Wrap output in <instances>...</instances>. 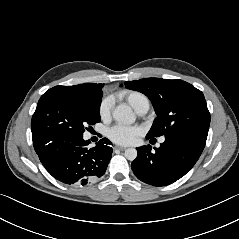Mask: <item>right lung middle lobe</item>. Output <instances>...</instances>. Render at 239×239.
<instances>
[{"label":"right lung middle lobe","instance_id":"right-lung-middle-lobe-1","mask_svg":"<svg viewBox=\"0 0 239 239\" xmlns=\"http://www.w3.org/2000/svg\"><path fill=\"white\" fill-rule=\"evenodd\" d=\"M101 100L102 92L72 86H56L45 92L31 120L35 151L58 136L83 135L87 126L100 122Z\"/></svg>","mask_w":239,"mask_h":239}]
</instances>
